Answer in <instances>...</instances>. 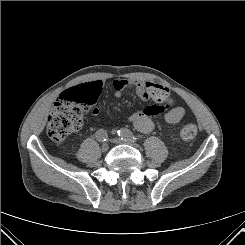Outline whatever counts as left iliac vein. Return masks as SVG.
I'll list each match as a JSON object with an SVG mask.
<instances>
[{"instance_id":"4c4485c4","label":"left iliac vein","mask_w":245,"mask_h":245,"mask_svg":"<svg viewBox=\"0 0 245 245\" xmlns=\"http://www.w3.org/2000/svg\"><path fill=\"white\" fill-rule=\"evenodd\" d=\"M112 142L115 143V144H123V143H125V144H128V145L134 146V147H138V145L135 142H133L132 140L124 141L121 138H113Z\"/></svg>"}]
</instances>
